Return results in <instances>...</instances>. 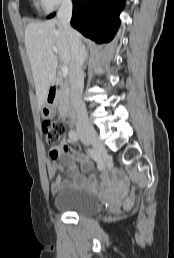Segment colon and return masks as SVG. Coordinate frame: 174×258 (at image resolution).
Instances as JSON below:
<instances>
[{
	"instance_id": "obj_1",
	"label": "colon",
	"mask_w": 174,
	"mask_h": 258,
	"mask_svg": "<svg viewBox=\"0 0 174 258\" xmlns=\"http://www.w3.org/2000/svg\"><path fill=\"white\" fill-rule=\"evenodd\" d=\"M42 130L45 135V139L48 145L53 147L52 155L54 157L58 156V151L55 149L56 146L59 144L61 138L63 137L66 128L64 123L61 121L56 120H46L43 122ZM134 200V193L132 192L131 195L124 201L123 206L124 208H129Z\"/></svg>"
}]
</instances>
